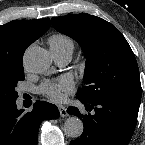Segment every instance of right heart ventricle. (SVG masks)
I'll list each match as a JSON object with an SVG mask.
<instances>
[{
  "instance_id": "obj_1",
  "label": "right heart ventricle",
  "mask_w": 145,
  "mask_h": 145,
  "mask_svg": "<svg viewBox=\"0 0 145 145\" xmlns=\"http://www.w3.org/2000/svg\"><path fill=\"white\" fill-rule=\"evenodd\" d=\"M48 44L51 52L71 51L74 49V41L71 37L63 33L52 34L48 38Z\"/></svg>"
}]
</instances>
